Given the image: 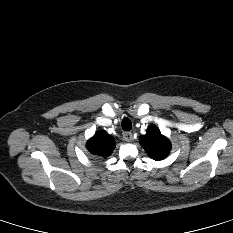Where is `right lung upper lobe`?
<instances>
[{
	"instance_id": "obj_1",
	"label": "right lung upper lobe",
	"mask_w": 233,
	"mask_h": 233,
	"mask_svg": "<svg viewBox=\"0 0 233 233\" xmlns=\"http://www.w3.org/2000/svg\"><path fill=\"white\" fill-rule=\"evenodd\" d=\"M115 147L114 139L105 131L97 132L87 143L89 152L99 159L108 157Z\"/></svg>"
}]
</instances>
